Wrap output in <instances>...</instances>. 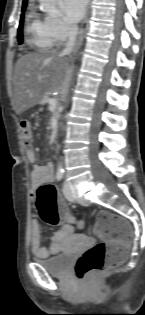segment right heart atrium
<instances>
[{"mask_svg": "<svg viewBox=\"0 0 145 315\" xmlns=\"http://www.w3.org/2000/svg\"><path fill=\"white\" fill-rule=\"evenodd\" d=\"M45 20L56 41H64L75 33V27L62 15L49 14Z\"/></svg>", "mask_w": 145, "mask_h": 315, "instance_id": "obj_1", "label": "right heart atrium"}]
</instances>
